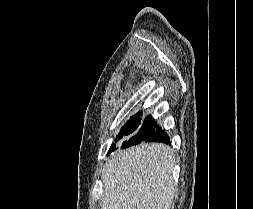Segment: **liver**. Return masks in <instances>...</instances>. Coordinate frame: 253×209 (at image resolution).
<instances>
[{
  "instance_id": "obj_1",
  "label": "liver",
  "mask_w": 253,
  "mask_h": 209,
  "mask_svg": "<svg viewBox=\"0 0 253 209\" xmlns=\"http://www.w3.org/2000/svg\"><path fill=\"white\" fill-rule=\"evenodd\" d=\"M174 156L165 144L119 151L105 165L102 209H170Z\"/></svg>"
}]
</instances>
